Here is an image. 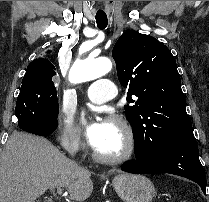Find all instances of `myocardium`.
<instances>
[{"mask_svg":"<svg viewBox=\"0 0 209 202\" xmlns=\"http://www.w3.org/2000/svg\"><path fill=\"white\" fill-rule=\"evenodd\" d=\"M107 121L116 124L123 132L125 138L124 148L116 155H104L93 148L92 157L95 161L104 164H118L129 160L136 150V139L132 127L125 118L117 115L109 116Z\"/></svg>","mask_w":209,"mask_h":202,"instance_id":"f54148a6","label":"myocardium"}]
</instances>
